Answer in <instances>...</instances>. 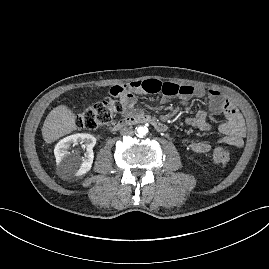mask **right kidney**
<instances>
[{
    "instance_id": "ca27d5eb",
    "label": "right kidney",
    "mask_w": 269,
    "mask_h": 269,
    "mask_svg": "<svg viewBox=\"0 0 269 269\" xmlns=\"http://www.w3.org/2000/svg\"><path fill=\"white\" fill-rule=\"evenodd\" d=\"M78 143L86 148L84 157L77 153H70L68 149ZM96 139L90 134L78 133L62 139L55 146L54 154L60 172L64 176H80L86 174L92 167L94 153L93 147Z\"/></svg>"
}]
</instances>
